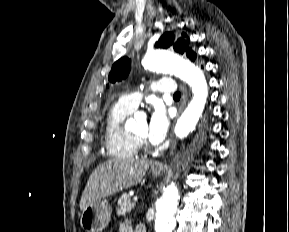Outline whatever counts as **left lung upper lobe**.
Listing matches in <instances>:
<instances>
[{
  "label": "left lung upper lobe",
  "instance_id": "1",
  "mask_svg": "<svg viewBox=\"0 0 289 232\" xmlns=\"http://www.w3.org/2000/svg\"><path fill=\"white\" fill-rule=\"evenodd\" d=\"M187 38L188 37L185 33H182V37L177 38L173 32H166L155 43V47H173L176 52L186 54L190 60L194 61L196 59V53L189 47V41ZM130 69L131 60L127 57H122L113 64L108 80L111 83L121 81L129 75Z\"/></svg>",
  "mask_w": 289,
  "mask_h": 232
}]
</instances>
